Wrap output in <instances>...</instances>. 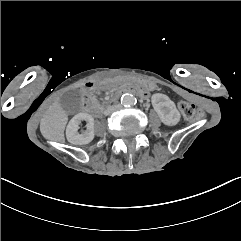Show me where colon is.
<instances>
[{
    "label": "colon",
    "mask_w": 241,
    "mask_h": 241,
    "mask_svg": "<svg viewBox=\"0 0 241 241\" xmlns=\"http://www.w3.org/2000/svg\"><path fill=\"white\" fill-rule=\"evenodd\" d=\"M179 109L187 120H194L196 118L201 117L203 114L201 108L195 107L193 104L189 102H181L179 104Z\"/></svg>",
    "instance_id": "obj_1"
}]
</instances>
